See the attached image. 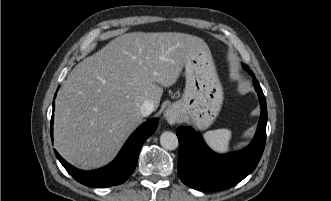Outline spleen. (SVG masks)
I'll use <instances>...</instances> for the list:
<instances>
[{
    "mask_svg": "<svg viewBox=\"0 0 331 201\" xmlns=\"http://www.w3.org/2000/svg\"><path fill=\"white\" fill-rule=\"evenodd\" d=\"M231 136L232 133L230 130L217 129L207 131L203 137L212 150L218 153H226L229 150Z\"/></svg>",
    "mask_w": 331,
    "mask_h": 201,
    "instance_id": "obj_1",
    "label": "spleen"
}]
</instances>
